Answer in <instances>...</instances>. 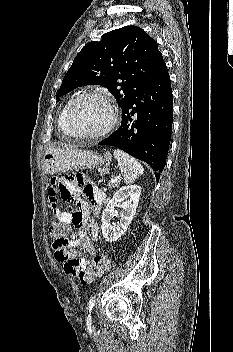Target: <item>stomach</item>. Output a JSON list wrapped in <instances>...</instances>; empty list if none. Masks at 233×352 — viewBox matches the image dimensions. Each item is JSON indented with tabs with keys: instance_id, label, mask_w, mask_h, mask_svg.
Returning a JSON list of instances; mask_svg holds the SVG:
<instances>
[{
	"instance_id": "obj_1",
	"label": "stomach",
	"mask_w": 233,
	"mask_h": 352,
	"mask_svg": "<svg viewBox=\"0 0 233 352\" xmlns=\"http://www.w3.org/2000/svg\"><path fill=\"white\" fill-rule=\"evenodd\" d=\"M105 159L97 152L82 149H61L49 147L43 156V168L47 174L72 169H94L101 167Z\"/></svg>"
}]
</instances>
